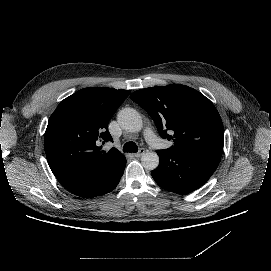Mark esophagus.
Returning a JSON list of instances; mask_svg holds the SVG:
<instances>
[{
	"mask_svg": "<svg viewBox=\"0 0 271 271\" xmlns=\"http://www.w3.org/2000/svg\"><path fill=\"white\" fill-rule=\"evenodd\" d=\"M144 153H145V149H144V148H141V149L139 150V152H137V153L134 154V157L140 158L141 156H143Z\"/></svg>",
	"mask_w": 271,
	"mask_h": 271,
	"instance_id": "esophagus-1",
	"label": "esophagus"
}]
</instances>
